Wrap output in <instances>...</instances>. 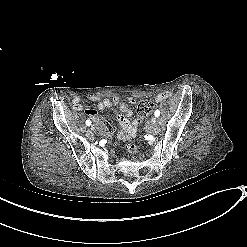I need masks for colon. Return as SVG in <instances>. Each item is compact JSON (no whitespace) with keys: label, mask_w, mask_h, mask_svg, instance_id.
I'll use <instances>...</instances> for the list:
<instances>
[{"label":"colon","mask_w":247,"mask_h":247,"mask_svg":"<svg viewBox=\"0 0 247 247\" xmlns=\"http://www.w3.org/2000/svg\"><path fill=\"white\" fill-rule=\"evenodd\" d=\"M153 103L150 100H141L137 104V114L139 117H144L148 115L153 110ZM127 149L130 151L136 150V145L134 143H129Z\"/></svg>","instance_id":"colon-1"}]
</instances>
